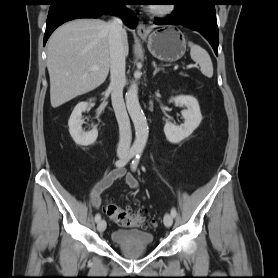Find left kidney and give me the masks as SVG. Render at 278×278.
<instances>
[{
	"mask_svg": "<svg viewBox=\"0 0 278 278\" xmlns=\"http://www.w3.org/2000/svg\"><path fill=\"white\" fill-rule=\"evenodd\" d=\"M170 101H174L175 104L187 108L182 111V116L185 119L183 124L176 126L171 122H166L164 126V133L167 140L170 143L177 144L189 137L199 126L202 121V115L198 101L192 96L180 95L172 98Z\"/></svg>",
	"mask_w": 278,
	"mask_h": 278,
	"instance_id": "1",
	"label": "left kidney"
}]
</instances>
